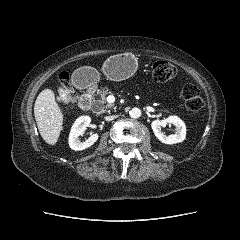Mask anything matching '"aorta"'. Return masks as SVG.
I'll return each mask as SVG.
<instances>
[{"mask_svg":"<svg viewBox=\"0 0 240 240\" xmlns=\"http://www.w3.org/2000/svg\"><path fill=\"white\" fill-rule=\"evenodd\" d=\"M129 115L130 117L132 118H139L141 116V110L139 108H132L130 111H129Z\"/></svg>","mask_w":240,"mask_h":240,"instance_id":"1","label":"aorta"}]
</instances>
